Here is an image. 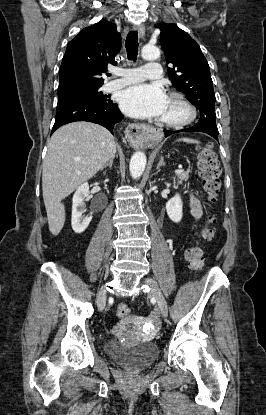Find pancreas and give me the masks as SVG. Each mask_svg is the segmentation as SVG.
Returning a JSON list of instances; mask_svg holds the SVG:
<instances>
[{
	"instance_id": "pancreas-1",
	"label": "pancreas",
	"mask_w": 266,
	"mask_h": 415,
	"mask_svg": "<svg viewBox=\"0 0 266 415\" xmlns=\"http://www.w3.org/2000/svg\"><path fill=\"white\" fill-rule=\"evenodd\" d=\"M177 182L180 184L182 181H187L189 178V172H182L180 174H177Z\"/></svg>"
}]
</instances>
